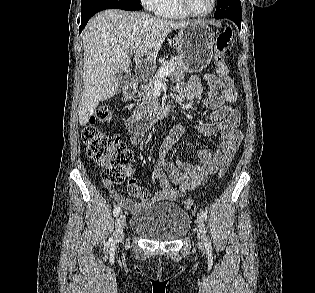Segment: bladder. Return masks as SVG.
I'll use <instances>...</instances> for the list:
<instances>
[{"mask_svg": "<svg viewBox=\"0 0 315 293\" xmlns=\"http://www.w3.org/2000/svg\"><path fill=\"white\" fill-rule=\"evenodd\" d=\"M191 218L176 204L166 202L148 203L133 215L131 230L147 239L176 241L183 238L190 229Z\"/></svg>", "mask_w": 315, "mask_h": 293, "instance_id": "bladder-1", "label": "bladder"}]
</instances>
